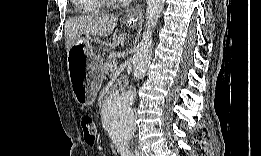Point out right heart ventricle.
<instances>
[{"mask_svg":"<svg viewBox=\"0 0 261 156\" xmlns=\"http://www.w3.org/2000/svg\"><path fill=\"white\" fill-rule=\"evenodd\" d=\"M94 0H77L75 1V4L79 7H84L85 9H96V4H94Z\"/></svg>","mask_w":261,"mask_h":156,"instance_id":"right-heart-ventricle-1","label":"right heart ventricle"}]
</instances>
